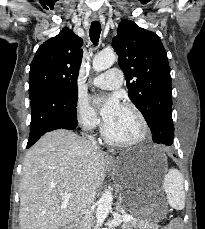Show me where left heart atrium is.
Masks as SVG:
<instances>
[{
    "label": "left heart atrium",
    "mask_w": 205,
    "mask_h": 229,
    "mask_svg": "<svg viewBox=\"0 0 205 229\" xmlns=\"http://www.w3.org/2000/svg\"><path fill=\"white\" fill-rule=\"evenodd\" d=\"M99 101L102 102L101 114L105 123L111 120L122 107L117 96H110Z\"/></svg>",
    "instance_id": "39dd6f15"
}]
</instances>
